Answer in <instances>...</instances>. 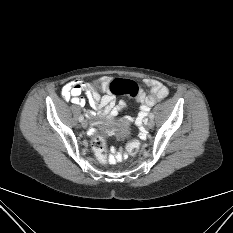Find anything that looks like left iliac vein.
Listing matches in <instances>:
<instances>
[{"label": "left iliac vein", "instance_id": "4c4485c4", "mask_svg": "<svg viewBox=\"0 0 233 233\" xmlns=\"http://www.w3.org/2000/svg\"><path fill=\"white\" fill-rule=\"evenodd\" d=\"M148 129H152L154 127V121L151 119L146 124Z\"/></svg>", "mask_w": 233, "mask_h": 233}]
</instances>
